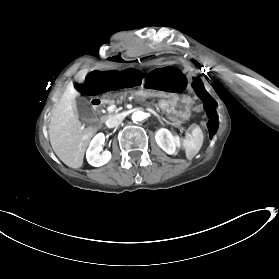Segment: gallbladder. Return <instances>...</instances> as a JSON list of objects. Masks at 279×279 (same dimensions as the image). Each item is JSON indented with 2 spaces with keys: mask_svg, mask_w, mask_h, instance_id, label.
Here are the masks:
<instances>
[{
  "mask_svg": "<svg viewBox=\"0 0 279 279\" xmlns=\"http://www.w3.org/2000/svg\"><path fill=\"white\" fill-rule=\"evenodd\" d=\"M77 107L80 120L83 123L90 125L92 128H99L101 126V119L94 117L92 108L88 105V101L85 99L77 100Z\"/></svg>",
  "mask_w": 279,
  "mask_h": 279,
  "instance_id": "gallbladder-1",
  "label": "gallbladder"
}]
</instances>
